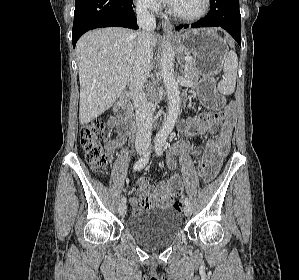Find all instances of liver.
<instances>
[{"mask_svg": "<svg viewBox=\"0 0 299 280\" xmlns=\"http://www.w3.org/2000/svg\"><path fill=\"white\" fill-rule=\"evenodd\" d=\"M138 32L111 27L85 33L76 52L80 81L79 121L87 124L109 109L125 89L136 59ZM157 36L152 34V49Z\"/></svg>", "mask_w": 299, "mask_h": 280, "instance_id": "liver-1", "label": "liver"}]
</instances>
